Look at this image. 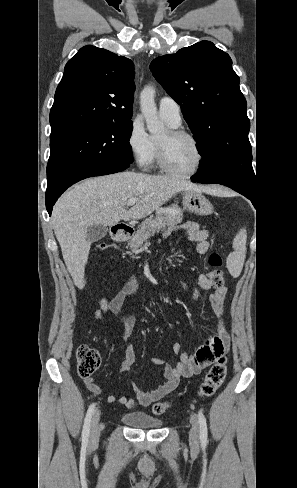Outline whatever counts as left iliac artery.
<instances>
[{"instance_id":"1","label":"left iliac artery","mask_w":297,"mask_h":488,"mask_svg":"<svg viewBox=\"0 0 297 488\" xmlns=\"http://www.w3.org/2000/svg\"><path fill=\"white\" fill-rule=\"evenodd\" d=\"M198 420H199V425H200V442H201L202 448L205 449L207 446V442H208V440H207L208 431H207L206 418L201 411H199V413H198Z\"/></svg>"}]
</instances>
